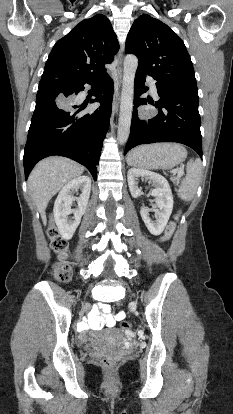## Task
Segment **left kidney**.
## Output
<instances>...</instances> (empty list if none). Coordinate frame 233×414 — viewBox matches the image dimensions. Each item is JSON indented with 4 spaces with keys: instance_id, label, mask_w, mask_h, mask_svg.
<instances>
[{
    "instance_id": "1",
    "label": "left kidney",
    "mask_w": 233,
    "mask_h": 414,
    "mask_svg": "<svg viewBox=\"0 0 233 414\" xmlns=\"http://www.w3.org/2000/svg\"><path fill=\"white\" fill-rule=\"evenodd\" d=\"M139 177L149 179L155 187L152 190V195L156 197L157 209L155 213L158 214L157 221L152 222L149 217V210L145 207H141L140 214L149 232L157 236L163 232L172 213V192L167 180L161 175L144 169L131 168L128 170L127 179L130 193L134 198L141 195V189L137 185Z\"/></svg>"
}]
</instances>
